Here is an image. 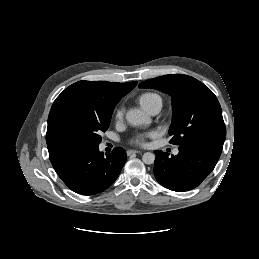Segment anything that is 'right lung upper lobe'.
<instances>
[{"label":"right lung upper lobe","mask_w":259,"mask_h":259,"mask_svg":"<svg viewBox=\"0 0 259 259\" xmlns=\"http://www.w3.org/2000/svg\"><path fill=\"white\" fill-rule=\"evenodd\" d=\"M137 82L79 81L66 88L54 101L50 115L61 105L78 104L96 111L113 112L120 99L129 93ZM48 117V118H49Z\"/></svg>","instance_id":"cb5924a9"}]
</instances>
